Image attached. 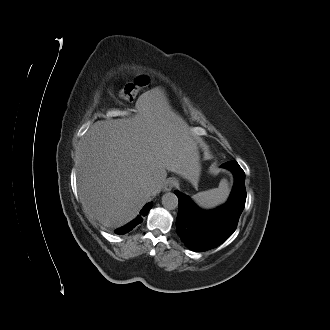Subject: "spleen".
Masks as SVG:
<instances>
[{
  "label": "spleen",
  "instance_id": "3e777b00",
  "mask_svg": "<svg viewBox=\"0 0 330 330\" xmlns=\"http://www.w3.org/2000/svg\"><path fill=\"white\" fill-rule=\"evenodd\" d=\"M229 194V183L224 178L220 181L218 188L193 195L192 200L203 209H212L225 203Z\"/></svg>",
  "mask_w": 330,
  "mask_h": 330
}]
</instances>
